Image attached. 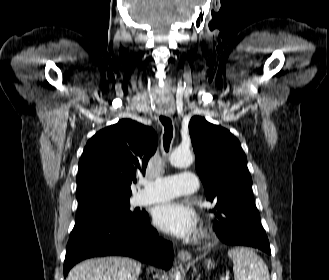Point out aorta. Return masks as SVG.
I'll return each instance as SVG.
<instances>
[{"label": "aorta", "instance_id": "1", "mask_svg": "<svg viewBox=\"0 0 329 280\" xmlns=\"http://www.w3.org/2000/svg\"><path fill=\"white\" fill-rule=\"evenodd\" d=\"M169 161L175 167H188L193 163V155L189 149L177 148L171 153ZM175 277L179 280V273Z\"/></svg>", "mask_w": 329, "mask_h": 280}]
</instances>
